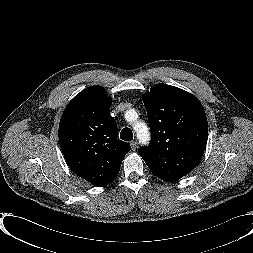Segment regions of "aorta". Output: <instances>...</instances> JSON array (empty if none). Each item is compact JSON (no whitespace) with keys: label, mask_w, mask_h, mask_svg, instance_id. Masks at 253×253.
I'll list each match as a JSON object with an SVG mask.
<instances>
[{"label":"aorta","mask_w":253,"mask_h":253,"mask_svg":"<svg viewBox=\"0 0 253 253\" xmlns=\"http://www.w3.org/2000/svg\"><path fill=\"white\" fill-rule=\"evenodd\" d=\"M136 115L134 110H129L126 113V118L128 121H131L133 117ZM134 130L136 131L137 137L142 141L146 142L149 139V131L145 123L138 122L134 126Z\"/></svg>","instance_id":"1"}]
</instances>
